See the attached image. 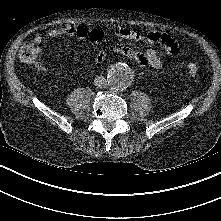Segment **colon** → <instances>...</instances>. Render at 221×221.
Returning a JSON list of instances; mask_svg holds the SVG:
<instances>
[{
    "mask_svg": "<svg viewBox=\"0 0 221 221\" xmlns=\"http://www.w3.org/2000/svg\"><path fill=\"white\" fill-rule=\"evenodd\" d=\"M38 54V47L32 42H27L22 45L19 51V58L25 64H33L37 61ZM198 71L199 67L195 62L188 63L184 68L185 74L191 77L196 76Z\"/></svg>",
    "mask_w": 221,
    "mask_h": 221,
    "instance_id": "obj_1",
    "label": "colon"
}]
</instances>
